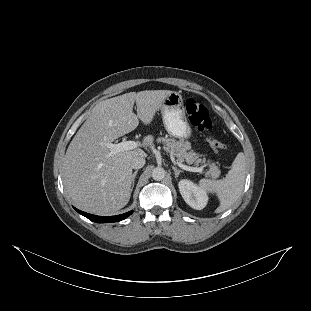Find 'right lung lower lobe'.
I'll use <instances>...</instances> for the list:
<instances>
[{
	"mask_svg": "<svg viewBox=\"0 0 311 311\" xmlns=\"http://www.w3.org/2000/svg\"><path fill=\"white\" fill-rule=\"evenodd\" d=\"M75 210L78 213L82 214L83 216L87 217L89 220H91L93 222H97V223L118 222L120 220L125 219L126 217H128L129 215H131L133 213V211H130V212L124 213L122 215L101 217V216H96V215H92V214L82 212L76 208H75Z\"/></svg>",
	"mask_w": 311,
	"mask_h": 311,
	"instance_id": "1",
	"label": "right lung lower lobe"
}]
</instances>
